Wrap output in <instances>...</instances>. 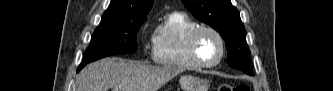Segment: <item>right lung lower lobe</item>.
Segmentation results:
<instances>
[{"mask_svg":"<svg viewBox=\"0 0 333 91\" xmlns=\"http://www.w3.org/2000/svg\"><path fill=\"white\" fill-rule=\"evenodd\" d=\"M87 63H82L79 67H78V69H77V72H79L85 65H86Z\"/></svg>","mask_w":333,"mask_h":91,"instance_id":"98d812e1","label":"right lung lower lobe"}]
</instances>
